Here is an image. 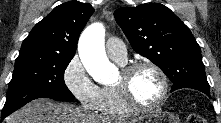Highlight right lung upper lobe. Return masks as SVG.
I'll return each instance as SVG.
<instances>
[{"instance_id":"cb5924a9","label":"right lung upper lobe","mask_w":221,"mask_h":123,"mask_svg":"<svg viewBox=\"0 0 221 123\" xmlns=\"http://www.w3.org/2000/svg\"><path fill=\"white\" fill-rule=\"evenodd\" d=\"M94 12L89 3H63L37 23L23 41L20 53L75 55L79 35Z\"/></svg>"}]
</instances>
